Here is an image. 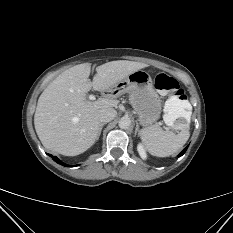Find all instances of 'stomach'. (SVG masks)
Returning a JSON list of instances; mask_svg holds the SVG:
<instances>
[{
  "mask_svg": "<svg viewBox=\"0 0 233 233\" xmlns=\"http://www.w3.org/2000/svg\"><path fill=\"white\" fill-rule=\"evenodd\" d=\"M118 93H129V101L144 127L157 122L161 114V99L156 92L151 76L143 70L129 74L112 87Z\"/></svg>",
  "mask_w": 233,
  "mask_h": 233,
  "instance_id": "stomach-1",
  "label": "stomach"
}]
</instances>
